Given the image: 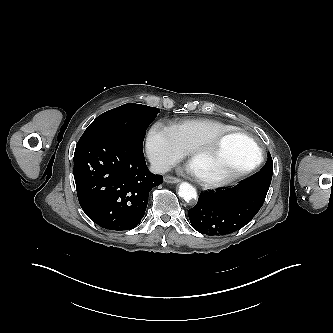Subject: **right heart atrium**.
I'll return each mask as SVG.
<instances>
[{
	"label": "right heart atrium",
	"mask_w": 333,
	"mask_h": 333,
	"mask_svg": "<svg viewBox=\"0 0 333 333\" xmlns=\"http://www.w3.org/2000/svg\"><path fill=\"white\" fill-rule=\"evenodd\" d=\"M146 151L158 171L167 170L186 154L171 128L160 122L154 123L147 133Z\"/></svg>",
	"instance_id": "d8ad5b80"
}]
</instances>
